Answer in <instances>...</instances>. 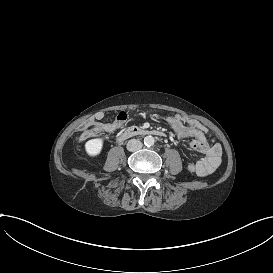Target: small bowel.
Segmentation results:
<instances>
[{
    "label": "small bowel",
    "mask_w": 273,
    "mask_h": 273,
    "mask_svg": "<svg viewBox=\"0 0 273 273\" xmlns=\"http://www.w3.org/2000/svg\"><path fill=\"white\" fill-rule=\"evenodd\" d=\"M104 117L105 114L103 112H97L94 115V127L90 131L80 129L82 135L91 137L103 132L114 134L119 132L128 120V115L125 111H120L111 121H104ZM164 121L178 138H191V148L205 156L194 165L195 171L199 176H207L219 166L222 157V147L220 144H210L208 142L206 138L207 128L203 124L184 114L165 117Z\"/></svg>",
    "instance_id": "1"
}]
</instances>
